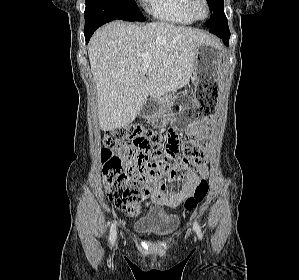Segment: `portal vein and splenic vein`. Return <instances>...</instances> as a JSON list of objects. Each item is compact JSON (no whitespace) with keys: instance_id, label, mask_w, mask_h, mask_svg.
Returning <instances> with one entry per match:
<instances>
[{"instance_id":"18ae733b","label":"portal vein and splenic vein","mask_w":299,"mask_h":280,"mask_svg":"<svg viewBox=\"0 0 299 280\" xmlns=\"http://www.w3.org/2000/svg\"><path fill=\"white\" fill-rule=\"evenodd\" d=\"M142 58L145 62L150 61L151 54L149 52H146V53L142 54Z\"/></svg>"}]
</instances>
